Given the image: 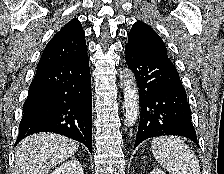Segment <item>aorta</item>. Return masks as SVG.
Here are the masks:
<instances>
[{
    "instance_id": "762f6f07",
    "label": "aorta",
    "mask_w": 224,
    "mask_h": 174,
    "mask_svg": "<svg viewBox=\"0 0 224 174\" xmlns=\"http://www.w3.org/2000/svg\"><path fill=\"white\" fill-rule=\"evenodd\" d=\"M123 78L125 117L133 125L139 114L138 89L129 69H125Z\"/></svg>"
}]
</instances>
